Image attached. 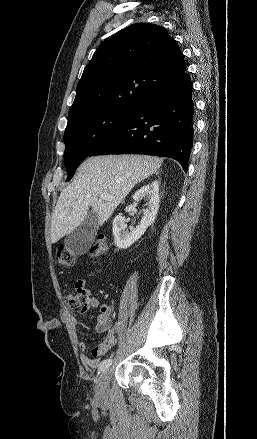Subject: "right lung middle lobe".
<instances>
[{
    "mask_svg": "<svg viewBox=\"0 0 257 439\" xmlns=\"http://www.w3.org/2000/svg\"><path fill=\"white\" fill-rule=\"evenodd\" d=\"M135 110L106 108L86 111L70 119L64 133L65 167L71 180L77 167L95 147Z\"/></svg>",
    "mask_w": 257,
    "mask_h": 439,
    "instance_id": "1",
    "label": "right lung middle lobe"
}]
</instances>
